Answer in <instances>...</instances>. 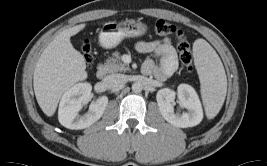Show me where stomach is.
Here are the masks:
<instances>
[{
	"mask_svg": "<svg viewBox=\"0 0 267 166\" xmlns=\"http://www.w3.org/2000/svg\"><path fill=\"white\" fill-rule=\"evenodd\" d=\"M147 25L134 19L121 22L105 23L99 34V43L105 49L118 46L125 38H134L143 35Z\"/></svg>",
	"mask_w": 267,
	"mask_h": 166,
	"instance_id": "1",
	"label": "stomach"
}]
</instances>
